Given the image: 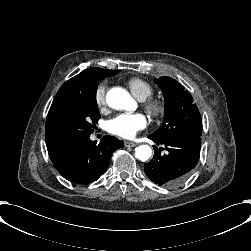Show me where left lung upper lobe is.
I'll use <instances>...</instances> for the list:
<instances>
[{"label":"left lung upper lobe","instance_id":"obj_1","mask_svg":"<svg viewBox=\"0 0 251 251\" xmlns=\"http://www.w3.org/2000/svg\"><path fill=\"white\" fill-rule=\"evenodd\" d=\"M165 99V118L160 128L151 134L159 140L187 135H202L201 115L191 94L173 78L154 79Z\"/></svg>","mask_w":251,"mask_h":251}]
</instances>
